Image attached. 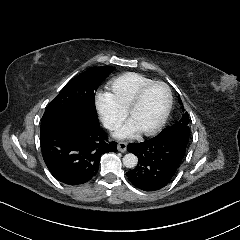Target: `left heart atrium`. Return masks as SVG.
Returning <instances> with one entry per match:
<instances>
[{
  "instance_id": "39dd6f15",
  "label": "left heart atrium",
  "mask_w": 240,
  "mask_h": 240,
  "mask_svg": "<svg viewBox=\"0 0 240 240\" xmlns=\"http://www.w3.org/2000/svg\"><path fill=\"white\" fill-rule=\"evenodd\" d=\"M140 132L139 128L132 121L123 125L115 134L119 139L133 138Z\"/></svg>"
}]
</instances>
